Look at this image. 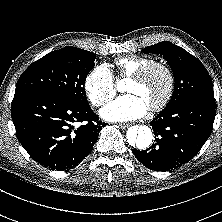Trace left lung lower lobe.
Listing matches in <instances>:
<instances>
[{"mask_svg": "<svg viewBox=\"0 0 222 222\" xmlns=\"http://www.w3.org/2000/svg\"><path fill=\"white\" fill-rule=\"evenodd\" d=\"M216 115L213 100L194 98L163 109L150 123L153 145L144 151L132 149L135 157L154 171H168L190 161L209 138Z\"/></svg>", "mask_w": 222, "mask_h": 222, "instance_id": "1", "label": "left lung lower lobe"}]
</instances>
